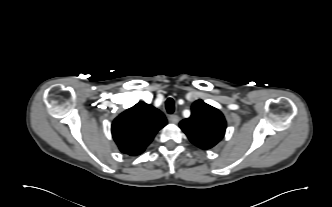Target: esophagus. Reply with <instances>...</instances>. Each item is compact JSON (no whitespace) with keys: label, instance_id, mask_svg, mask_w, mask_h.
I'll use <instances>...</instances> for the list:
<instances>
[{"label":"esophagus","instance_id":"1","mask_svg":"<svg viewBox=\"0 0 332 207\" xmlns=\"http://www.w3.org/2000/svg\"><path fill=\"white\" fill-rule=\"evenodd\" d=\"M168 119L171 123H178L179 122V117L177 115H174V114L170 115Z\"/></svg>","mask_w":332,"mask_h":207}]
</instances>
